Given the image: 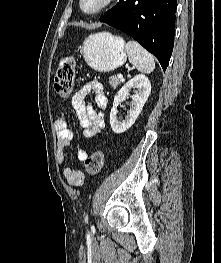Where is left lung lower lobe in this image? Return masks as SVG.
<instances>
[{
  "label": "left lung lower lobe",
  "instance_id": "obj_1",
  "mask_svg": "<svg viewBox=\"0 0 221 263\" xmlns=\"http://www.w3.org/2000/svg\"><path fill=\"white\" fill-rule=\"evenodd\" d=\"M177 0H120L100 18L137 40L165 71L174 46Z\"/></svg>",
  "mask_w": 221,
  "mask_h": 263
}]
</instances>
